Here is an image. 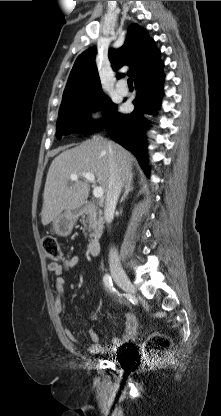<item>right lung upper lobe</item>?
<instances>
[{"label": "right lung upper lobe", "instance_id": "obj_1", "mask_svg": "<svg viewBox=\"0 0 221 416\" xmlns=\"http://www.w3.org/2000/svg\"><path fill=\"white\" fill-rule=\"evenodd\" d=\"M95 54V48H91L78 56L71 70L62 103L103 93ZM159 55L160 51L155 47L154 40L147 37L137 24L129 27L124 45L119 49H111L108 54L113 69L117 70L123 65L131 66L129 75L133 76L135 81L163 67Z\"/></svg>", "mask_w": 221, "mask_h": 416}]
</instances>
